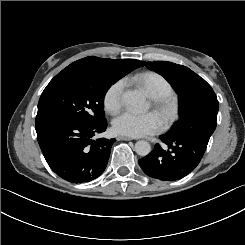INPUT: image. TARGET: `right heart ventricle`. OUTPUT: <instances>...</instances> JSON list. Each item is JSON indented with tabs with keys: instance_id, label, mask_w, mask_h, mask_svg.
<instances>
[{
	"instance_id": "right-heart-ventricle-1",
	"label": "right heart ventricle",
	"mask_w": 245,
	"mask_h": 245,
	"mask_svg": "<svg viewBox=\"0 0 245 245\" xmlns=\"http://www.w3.org/2000/svg\"><path fill=\"white\" fill-rule=\"evenodd\" d=\"M129 79L153 98L160 95H174L170 82L158 73L139 71L132 74Z\"/></svg>"
}]
</instances>
